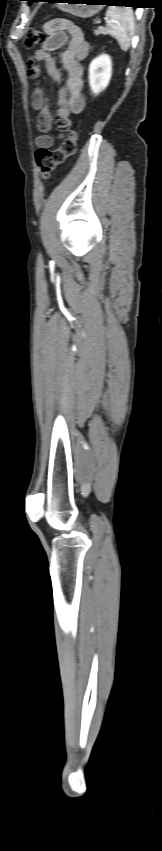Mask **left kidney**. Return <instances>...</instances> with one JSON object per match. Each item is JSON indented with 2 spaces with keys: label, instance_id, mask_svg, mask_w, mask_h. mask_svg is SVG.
<instances>
[{
  "label": "left kidney",
  "instance_id": "1",
  "mask_svg": "<svg viewBox=\"0 0 162 851\" xmlns=\"http://www.w3.org/2000/svg\"><path fill=\"white\" fill-rule=\"evenodd\" d=\"M111 75L112 61L110 56L102 54L92 60L89 65V85L95 95L108 86Z\"/></svg>",
  "mask_w": 162,
  "mask_h": 851
}]
</instances>
